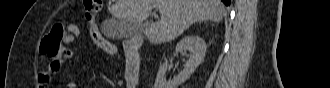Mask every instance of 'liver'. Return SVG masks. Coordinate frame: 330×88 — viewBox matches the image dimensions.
I'll return each mask as SVG.
<instances>
[{
	"label": "liver",
	"instance_id": "1",
	"mask_svg": "<svg viewBox=\"0 0 330 88\" xmlns=\"http://www.w3.org/2000/svg\"><path fill=\"white\" fill-rule=\"evenodd\" d=\"M153 7L161 9V19L143 33L154 45L177 38L197 21L220 22L226 13L220 0H117L110 12L118 21L138 25L147 19Z\"/></svg>",
	"mask_w": 330,
	"mask_h": 88
}]
</instances>
